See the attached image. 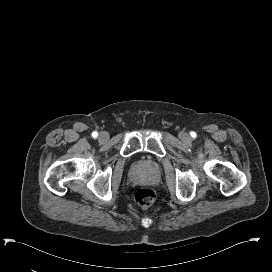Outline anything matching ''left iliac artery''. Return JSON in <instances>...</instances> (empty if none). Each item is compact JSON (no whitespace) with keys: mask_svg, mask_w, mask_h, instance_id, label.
I'll use <instances>...</instances> for the list:
<instances>
[{"mask_svg":"<svg viewBox=\"0 0 272 272\" xmlns=\"http://www.w3.org/2000/svg\"><path fill=\"white\" fill-rule=\"evenodd\" d=\"M191 136H192L193 138L196 137V133L191 132Z\"/></svg>","mask_w":272,"mask_h":272,"instance_id":"1","label":"left iliac artery"}]
</instances>
